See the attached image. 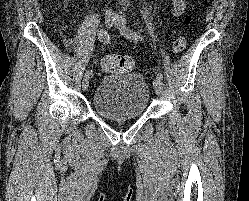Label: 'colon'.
Masks as SVG:
<instances>
[{"instance_id": "5ec220e1", "label": "colon", "mask_w": 249, "mask_h": 201, "mask_svg": "<svg viewBox=\"0 0 249 201\" xmlns=\"http://www.w3.org/2000/svg\"><path fill=\"white\" fill-rule=\"evenodd\" d=\"M192 17L186 15L185 23L190 24ZM187 46V40L185 36H179L173 43L172 51L175 54L181 53ZM133 60L126 55L112 54L107 56L102 63L105 70L114 71L118 73H126L133 68Z\"/></svg>"}]
</instances>
